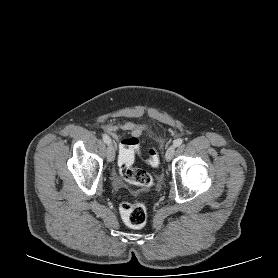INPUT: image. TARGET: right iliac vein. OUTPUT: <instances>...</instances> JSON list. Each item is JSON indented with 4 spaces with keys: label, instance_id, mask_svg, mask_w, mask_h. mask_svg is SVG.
Wrapping results in <instances>:
<instances>
[{
    "label": "right iliac vein",
    "instance_id": "right-iliac-vein-1",
    "mask_svg": "<svg viewBox=\"0 0 278 278\" xmlns=\"http://www.w3.org/2000/svg\"><path fill=\"white\" fill-rule=\"evenodd\" d=\"M115 158V147L113 144H109L107 148V159L112 162Z\"/></svg>",
    "mask_w": 278,
    "mask_h": 278
}]
</instances>
